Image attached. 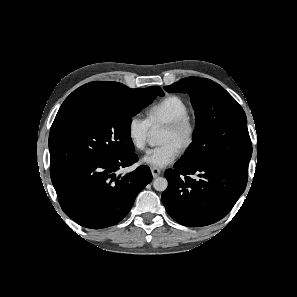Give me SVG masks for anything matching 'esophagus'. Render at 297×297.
<instances>
[{
	"instance_id": "esophagus-1",
	"label": "esophagus",
	"mask_w": 297,
	"mask_h": 297,
	"mask_svg": "<svg viewBox=\"0 0 297 297\" xmlns=\"http://www.w3.org/2000/svg\"><path fill=\"white\" fill-rule=\"evenodd\" d=\"M151 173H152V176L156 178L161 174V171L158 168H151Z\"/></svg>"
}]
</instances>
